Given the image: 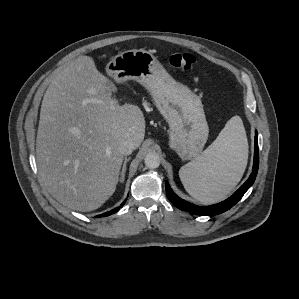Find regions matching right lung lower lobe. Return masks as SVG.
I'll return each instance as SVG.
<instances>
[{
  "mask_svg": "<svg viewBox=\"0 0 299 299\" xmlns=\"http://www.w3.org/2000/svg\"><path fill=\"white\" fill-rule=\"evenodd\" d=\"M123 205H124V202L121 204V207H122ZM118 210H119V207H117V208H115V209H113V210H111V211H108V212H106V213H104V214H102V215H99V216H97V217L108 216V215H111V214L117 212Z\"/></svg>",
  "mask_w": 299,
  "mask_h": 299,
  "instance_id": "right-lung-lower-lobe-1",
  "label": "right lung lower lobe"
}]
</instances>
